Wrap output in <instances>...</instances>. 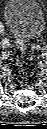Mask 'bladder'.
<instances>
[{
  "label": "bladder",
  "mask_w": 47,
  "mask_h": 129,
  "mask_svg": "<svg viewBox=\"0 0 47 129\" xmlns=\"http://www.w3.org/2000/svg\"><path fill=\"white\" fill-rule=\"evenodd\" d=\"M8 29L22 44L39 37L45 26V18L36 0H8L3 10Z\"/></svg>",
  "instance_id": "1"
}]
</instances>
